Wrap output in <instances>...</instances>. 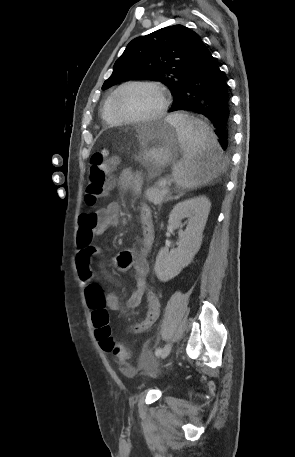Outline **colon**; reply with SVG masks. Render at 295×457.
I'll list each match as a JSON object with an SVG mask.
<instances>
[{
    "label": "colon",
    "instance_id": "obj_1",
    "mask_svg": "<svg viewBox=\"0 0 295 457\" xmlns=\"http://www.w3.org/2000/svg\"><path fill=\"white\" fill-rule=\"evenodd\" d=\"M117 165V159L106 149L91 156L88 184L85 201L89 206L94 205L114 184L112 172ZM88 303L92 310V322L95 336L99 342V349L112 353L113 361L130 360L131 354L124 346L117 344L111 336L109 315L105 304L96 297L100 295L99 287L90 286L87 290Z\"/></svg>",
    "mask_w": 295,
    "mask_h": 457
}]
</instances>
